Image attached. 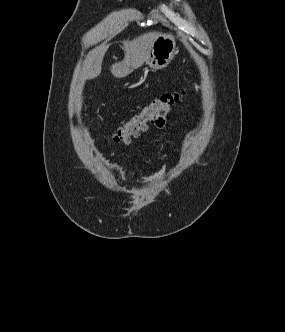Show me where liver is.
<instances>
[{
  "instance_id": "6515ba94",
  "label": "liver",
  "mask_w": 285,
  "mask_h": 332,
  "mask_svg": "<svg viewBox=\"0 0 285 332\" xmlns=\"http://www.w3.org/2000/svg\"><path fill=\"white\" fill-rule=\"evenodd\" d=\"M160 35L159 32H148L134 38L123 41L124 59L111 66V73L116 78H124L134 69L142 66L149 60L150 50L154 41ZM108 49L105 44L93 49L87 55L82 75L85 79H94L101 73L103 57Z\"/></svg>"
}]
</instances>
